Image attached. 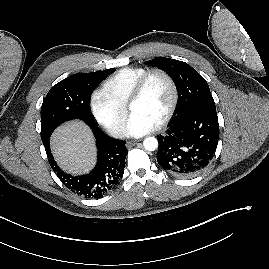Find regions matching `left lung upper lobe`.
I'll return each mask as SVG.
<instances>
[{
	"mask_svg": "<svg viewBox=\"0 0 269 269\" xmlns=\"http://www.w3.org/2000/svg\"><path fill=\"white\" fill-rule=\"evenodd\" d=\"M168 73L177 88L179 108L176 120L198 109H216L206 80L189 64L165 57L145 62Z\"/></svg>",
	"mask_w": 269,
	"mask_h": 269,
	"instance_id": "1",
	"label": "left lung upper lobe"
}]
</instances>
